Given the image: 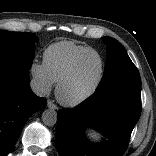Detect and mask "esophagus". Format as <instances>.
I'll list each match as a JSON object with an SVG mask.
<instances>
[{
    "instance_id": "esophagus-1",
    "label": "esophagus",
    "mask_w": 156,
    "mask_h": 156,
    "mask_svg": "<svg viewBox=\"0 0 156 156\" xmlns=\"http://www.w3.org/2000/svg\"><path fill=\"white\" fill-rule=\"evenodd\" d=\"M47 106H48V108L53 109V110H57L58 109L57 105H55L53 103V101H51V100H48Z\"/></svg>"
}]
</instances>
